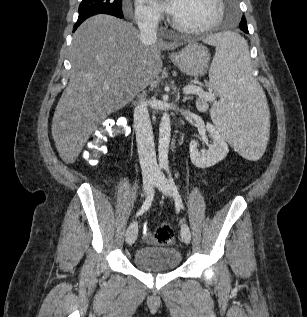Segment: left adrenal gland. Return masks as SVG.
I'll return each mask as SVG.
<instances>
[{
  "instance_id": "a2214340",
  "label": "left adrenal gland",
  "mask_w": 307,
  "mask_h": 317,
  "mask_svg": "<svg viewBox=\"0 0 307 317\" xmlns=\"http://www.w3.org/2000/svg\"><path fill=\"white\" fill-rule=\"evenodd\" d=\"M188 100H192V97H191V96H185V97L183 98V102H186V101H188Z\"/></svg>"
}]
</instances>
